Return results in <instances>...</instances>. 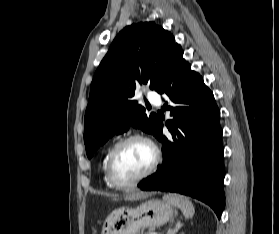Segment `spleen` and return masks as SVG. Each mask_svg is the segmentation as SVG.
Listing matches in <instances>:
<instances>
[{"label": "spleen", "mask_w": 279, "mask_h": 234, "mask_svg": "<svg viewBox=\"0 0 279 234\" xmlns=\"http://www.w3.org/2000/svg\"><path fill=\"white\" fill-rule=\"evenodd\" d=\"M163 199L173 206L180 208L186 218L193 217L195 208L188 198L176 194H170L164 196Z\"/></svg>", "instance_id": "obj_1"}]
</instances>
